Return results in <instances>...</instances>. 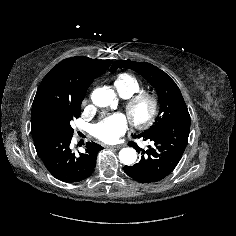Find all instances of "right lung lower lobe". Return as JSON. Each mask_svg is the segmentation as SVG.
I'll use <instances>...</instances> for the list:
<instances>
[{
  "mask_svg": "<svg viewBox=\"0 0 236 236\" xmlns=\"http://www.w3.org/2000/svg\"><path fill=\"white\" fill-rule=\"evenodd\" d=\"M31 132L38 156L55 178L73 183L91 175L96 165L97 153L102 146L89 142L84 153L75 155L70 149L72 137L41 130Z\"/></svg>",
  "mask_w": 236,
  "mask_h": 236,
  "instance_id": "1",
  "label": "right lung lower lobe"
}]
</instances>
